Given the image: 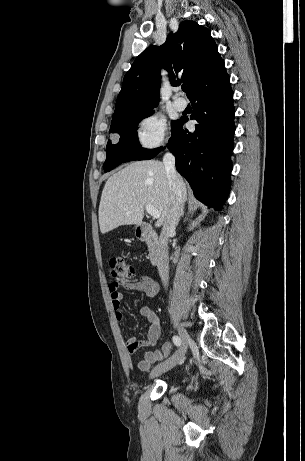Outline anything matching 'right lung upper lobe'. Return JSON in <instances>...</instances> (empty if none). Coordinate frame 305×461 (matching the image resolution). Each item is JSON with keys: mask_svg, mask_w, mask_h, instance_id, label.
I'll return each instance as SVG.
<instances>
[{"mask_svg": "<svg viewBox=\"0 0 305 461\" xmlns=\"http://www.w3.org/2000/svg\"><path fill=\"white\" fill-rule=\"evenodd\" d=\"M170 74L173 86L187 84L188 98L226 72L210 31L193 21H183L160 46H150L126 73L110 129L134 115L152 111L159 98L160 69Z\"/></svg>", "mask_w": 305, "mask_h": 461, "instance_id": "right-lung-upper-lobe-1", "label": "right lung upper lobe"}]
</instances>
